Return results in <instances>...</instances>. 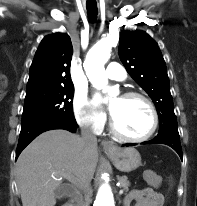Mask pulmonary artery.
<instances>
[{
	"label": "pulmonary artery",
	"mask_w": 197,
	"mask_h": 206,
	"mask_svg": "<svg viewBox=\"0 0 197 206\" xmlns=\"http://www.w3.org/2000/svg\"><path fill=\"white\" fill-rule=\"evenodd\" d=\"M106 75L109 79L122 81L126 77V72L121 64L111 62L107 65Z\"/></svg>",
	"instance_id": "obj_1"
}]
</instances>
